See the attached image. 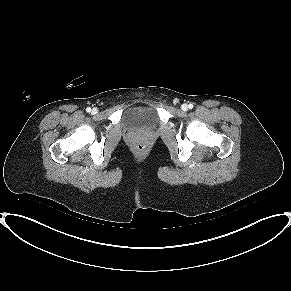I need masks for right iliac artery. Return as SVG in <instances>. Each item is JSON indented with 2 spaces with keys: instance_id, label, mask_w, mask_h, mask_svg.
I'll list each match as a JSON object with an SVG mask.
<instances>
[{
  "instance_id": "1",
  "label": "right iliac artery",
  "mask_w": 291,
  "mask_h": 291,
  "mask_svg": "<svg viewBox=\"0 0 291 291\" xmlns=\"http://www.w3.org/2000/svg\"><path fill=\"white\" fill-rule=\"evenodd\" d=\"M86 111H87L88 113L91 112V108L88 107V108L86 109Z\"/></svg>"
}]
</instances>
